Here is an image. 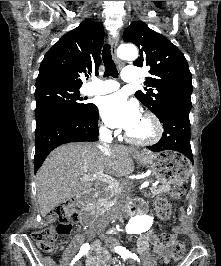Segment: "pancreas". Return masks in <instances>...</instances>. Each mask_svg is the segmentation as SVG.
<instances>
[{"instance_id": "cf45deb5", "label": "pancreas", "mask_w": 221, "mask_h": 266, "mask_svg": "<svg viewBox=\"0 0 221 266\" xmlns=\"http://www.w3.org/2000/svg\"><path fill=\"white\" fill-rule=\"evenodd\" d=\"M171 190L170 185H160L158 187H153L150 189V193L152 194V197L158 194L162 193H169ZM120 190L117 188H113L102 195V197L96 202L97 209H107L110 207L111 204L115 201V198H113L115 195H119Z\"/></svg>"}]
</instances>
